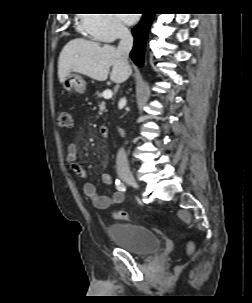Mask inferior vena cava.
<instances>
[{"instance_id": "obj_1", "label": "inferior vena cava", "mask_w": 252, "mask_h": 303, "mask_svg": "<svg viewBox=\"0 0 252 303\" xmlns=\"http://www.w3.org/2000/svg\"><path fill=\"white\" fill-rule=\"evenodd\" d=\"M133 46V37L129 29L125 26L120 27V42L117 51L122 55L128 64L129 53ZM125 101V99H123ZM116 168L119 175L130 174V168L124 148H120L116 158Z\"/></svg>"}]
</instances>
